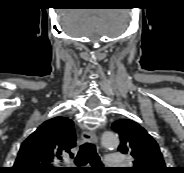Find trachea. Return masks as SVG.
Wrapping results in <instances>:
<instances>
[{
    "label": "trachea",
    "mask_w": 184,
    "mask_h": 173,
    "mask_svg": "<svg viewBox=\"0 0 184 173\" xmlns=\"http://www.w3.org/2000/svg\"><path fill=\"white\" fill-rule=\"evenodd\" d=\"M86 163H90L93 167L103 168V164L96 152L94 144L84 143L79 147L78 154L75 158V164L80 166ZM82 167H76V170H79Z\"/></svg>",
    "instance_id": "trachea-1"
}]
</instances>
